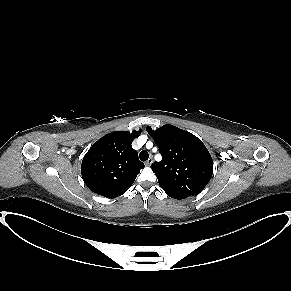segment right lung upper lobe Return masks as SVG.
<instances>
[{"instance_id": "cb5924a9", "label": "right lung upper lobe", "mask_w": 291, "mask_h": 291, "mask_svg": "<svg viewBox=\"0 0 291 291\" xmlns=\"http://www.w3.org/2000/svg\"><path fill=\"white\" fill-rule=\"evenodd\" d=\"M141 131H119L100 138L85 154L81 174L86 186L107 198L124 194L144 164L131 144Z\"/></svg>"}]
</instances>
